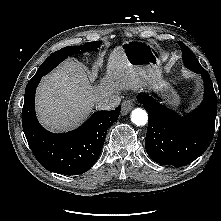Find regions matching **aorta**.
Returning <instances> with one entry per match:
<instances>
[{"label": "aorta", "mask_w": 221, "mask_h": 221, "mask_svg": "<svg viewBox=\"0 0 221 221\" xmlns=\"http://www.w3.org/2000/svg\"><path fill=\"white\" fill-rule=\"evenodd\" d=\"M131 121L137 126H144L148 122V114L144 109L136 108L131 112Z\"/></svg>", "instance_id": "762f6f07"}]
</instances>
